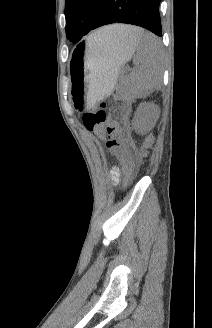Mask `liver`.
Masks as SVG:
<instances>
[{
  "mask_svg": "<svg viewBox=\"0 0 212 328\" xmlns=\"http://www.w3.org/2000/svg\"><path fill=\"white\" fill-rule=\"evenodd\" d=\"M138 30L139 28L129 25H111L98 30L97 34L103 41L100 45L109 46L132 41Z\"/></svg>",
  "mask_w": 212,
  "mask_h": 328,
  "instance_id": "6515ba94",
  "label": "liver"
}]
</instances>
